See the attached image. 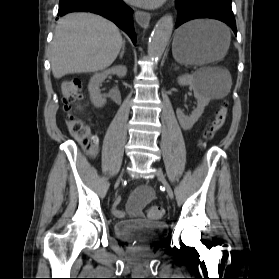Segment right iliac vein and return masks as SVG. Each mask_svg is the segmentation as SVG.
Segmentation results:
<instances>
[{"instance_id":"63e3f726","label":"right iliac vein","mask_w":279,"mask_h":279,"mask_svg":"<svg viewBox=\"0 0 279 279\" xmlns=\"http://www.w3.org/2000/svg\"><path fill=\"white\" fill-rule=\"evenodd\" d=\"M120 179H121V176H120V178L118 179L117 184L120 182Z\"/></svg>"}]
</instances>
